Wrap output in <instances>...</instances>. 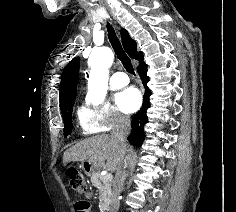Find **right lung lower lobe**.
<instances>
[{
    "mask_svg": "<svg viewBox=\"0 0 236 212\" xmlns=\"http://www.w3.org/2000/svg\"><path fill=\"white\" fill-rule=\"evenodd\" d=\"M137 72L140 78L142 79L143 85L145 87V94L143 97L144 100L142 107L132 119V131L131 134L128 136V140L134 145L141 146L145 138L144 125L148 121L146 111L150 107L149 97L151 95V91L146 86L147 82L149 81V77L147 76V65L143 60L140 61V64L137 67Z\"/></svg>",
    "mask_w": 236,
    "mask_h": 212,
    "instance_id": "obj_1",
    "label": "right lung lower lobe"
}]
</instances>
